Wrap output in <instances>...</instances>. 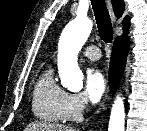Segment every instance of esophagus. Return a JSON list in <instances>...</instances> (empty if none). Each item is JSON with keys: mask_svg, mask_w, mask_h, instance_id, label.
Here are the masks:
<instances>
[{"mask_svg": "<svg viewBox=\"0 0 147 131\" xmlns=\"http://www.w3.org/2000/svg\"><path fill=\"white\" fill-rule=\"evenodd\" d=\"M106 1H107V5H108V9H109V12H110L112 21H113V22H116L117 18H116V16H115L114 12H113L111 0H106ZM108 98H109V90H107V92H106V94H105L104 101H107Z\"/></svg>", "mask_w": 147, "mask_h": 131, "instance_id": "34e87169", "label": "esophagus"}]
</instances>
